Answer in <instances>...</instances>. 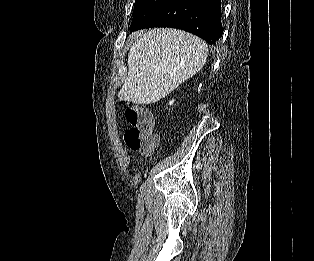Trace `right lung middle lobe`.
<instances>
[{
	"label": "right lung middle lobe",
	"instance_id": "dd1d6c3e",
	"mask_svg": "<svg viewBox=\"0 0 314 261\" xmlns=\"http://www.w3.org/2000/svg\"><path fill=\"white\" fill-rule=\"evenodd\" d=\"M170 0H135L132 25H137L148 19Z\"/></svg>",
	"mask_w": 314,
	"mask_h": 261
}]
</instances>
